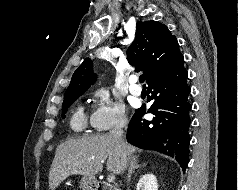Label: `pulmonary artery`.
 <instances>
[{
	"label": "pulmonary artery",
	"instance_id": "obj_1",
	"mask_svg": "<svg viewBox=\"0 0 238 190\" xmlns=\"http://www.w3.org/2000/svg\"><path fill=\"white\" fill-rule=\"evenodd\" d=\"M130 82V86H129V92L133 95V96H140L141 95V88L136 84L137 82V78L135 76H132L129 79Z\"/></svg>",
	"mask_w": 238,
	"mask_h": 190
}]
</instances>
